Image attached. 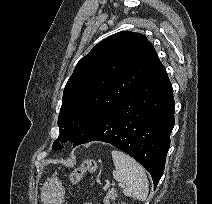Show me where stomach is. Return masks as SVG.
Returning a JSON list of instances; mask_svg holds the SVG:
<instances>
[{
	"instance_id": "0dacf381",
	"label": "stomach",
	"mask_w": 212,
	"mask_h": 204,
	"mask_svg": "<svg viewBox=\"0 0 212 204\" xmlns=\"http://www.w3.org/2000/svg\"><path fill=\"white\" fill-rule=\"evenodd\" d=\"M41 190V201L43 204H63L65 190L58 178H48Z\"/></svg>"
}]
</instances>
